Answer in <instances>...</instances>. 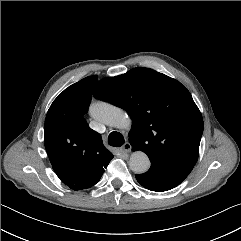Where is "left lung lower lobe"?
<instances>
[{
	"label": "left lung lower lobe",
	"mask_w": 241,
	"mask_h": 241,
	"mask_svg": "<svg viewBox=\"0 0 241 241\" xmlns=\"http://www.w3.org/2000/svg\"><path fill=\"white\" fill-rule=\"evenodd\" d=\"M188 175L151 164L148 172L136 174L137 181L152 191H167L178 186Z\"/></svg>",
	"instance_id": "1"
}]
</instances>
